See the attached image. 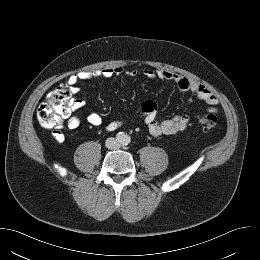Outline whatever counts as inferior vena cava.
<instances>
[{
  "mask_svg": "<svg viewBox=\"0 0 260 260\" xmlns=\"http://www.w3.org/2000/svg\"><path fill=\"white\" fill-rule=\"evenodd\" d=\"M105 145L108 149L115 150L119 148V144L117 140L113 137L107 138Z\"/></svg>",
  "mask_w": 260,
  "mask_h": 260,
  "instance_id": "inferior-vena-cava-1",
  "label": "inferior vena cava"
}]
</instances>
